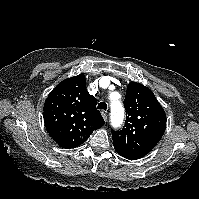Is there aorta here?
<instances>
[{"mask_svg":"<svg viewBox=\"0 0 199 199\" xmlns=\"http://www.w3.org/2000/svg\"><path fill=\"white\" fill-rule=\"evenodd\" d=\"M124 108L119 101L111 103V124L113 127H118L123 122Z\"/></svg>","mask_w":199,"mask_h":199,"instance_id":"1","label":"aorta"}]
</instances>
